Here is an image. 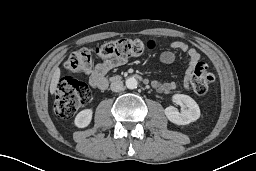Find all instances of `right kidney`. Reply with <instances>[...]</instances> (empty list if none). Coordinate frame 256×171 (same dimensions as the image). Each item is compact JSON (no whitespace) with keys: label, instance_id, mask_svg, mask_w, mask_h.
Segmentation results:
<instances>
[{"label":"right kidney","instance_id":"1","mask_svg":"<svg viewBox=\"0 0 256 171\" xmlns=\"http://www.w3.org/2000/svg\"><path fill=\"white\" fill-rule=\"evenodd\" d=\"M92 115H93L92 109H84L76 115L74 124L78 128H85L90 124L92 120Z\"/></svg>","mask_w":256,"mask_h":171}]
</instances>
